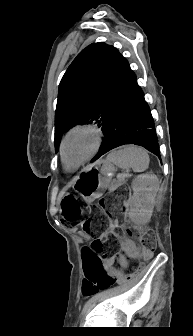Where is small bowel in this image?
Masks as SVG:
<instances>
[{"label": "small bowel", "instance_id": "c3829d8e", "mask_svg": "<svg viewBox=\"0 0 193 336\" xmlns=\"http://www.w3.org/2000/svg\"><path fill=\"white\" fill-rule=\"evenodd\" d=\"M124 248L126 251L128 252H134L135 248H134V245L130 242H125L124 243ZM84 256H85V253L83 254V269H84V274H85V281H86V271H85V260H84ZM114 262H115V259L114 258H109L107 260H104L103 261V267L105 269V271L109 274H113V275H116L118 272L117 270L114 268ZM86 287L87 289H91L92 286L89 285L86 281Z\"/></svg>", "mask_w": 193, "mask_h": 336}]
</instances>
